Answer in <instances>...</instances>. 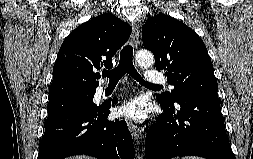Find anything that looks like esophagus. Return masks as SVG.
<instances>
[{
    "mask_svg": "<svg viewBox=\"0 0 253 159\" xmlns=\"http://www.w3.org/2000/svg\"><path fill=\"white\" fill-rule=\"evenodd\" d=\"M131 44L134 48H137L139 45V24L136 21L132 23ZM129 130L134 140L143 139V131L133 123H129Z\"/></svg>",
    "mask_w": 253,
    "mask_h": 159,
    "instance_id": "1",
    "label": "esophagus"
}]
</instances>
